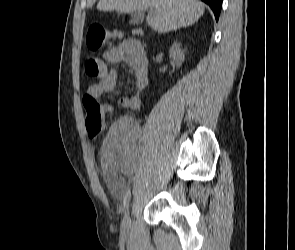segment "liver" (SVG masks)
<instances>
[{"instance_id":"6515ba94","label":"liver","mask_w":295,"mask_h":250,"mask_svg":"<svg viewBox=\"0 0 295 250\" xmlns=\"http://www.w3.org/2000/svg\"><path fill=\"white\" fill-rule=\"evenodd\" d=\"M152 8L146 21L158 33L187 27L203 16L204 4L196 0H99L97 10L119 13L143 12Z\"/></svg>"}]
</instances>
